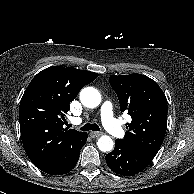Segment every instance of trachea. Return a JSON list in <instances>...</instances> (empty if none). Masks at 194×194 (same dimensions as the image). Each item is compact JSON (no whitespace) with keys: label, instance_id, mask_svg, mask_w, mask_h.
Masks as SVG:
<instances>
[{"label":"trachea","instance_id":"trachea-1","mask_svg":"<svg viewBox=\"0 0 194 194\" xmlns=\"http://www.w3.org/2000/svg\"><path fill=\"white\" fill-rule=\"evenodd\" d=\"M80 130H83V131H89V130L99 131L100 128L95 123H86L84 126L80 127Z\"/></svg>","mask_w":194,"mask_h":194}]
</instances>
